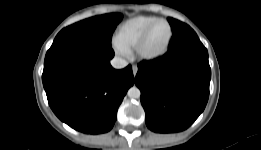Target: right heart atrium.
<instances>
[{"label": "right heart atrium", "mask_w": 261, "mask_h": 150, "mask_svg": "<svg viewBox=\"0 0 261 150\" xmlns=\"http://www.w3.org/2000/svg\"><path fill=\"white\" fill-rule=\"evenodd\" d=\"M115 49L117 51V53L121 54V55H125L127 53V51L122 48L121 46H119L117 43H115Z\"/></svg>", "instance_id": "right-heart-atrium-1"}]
</instances>
